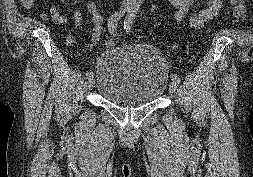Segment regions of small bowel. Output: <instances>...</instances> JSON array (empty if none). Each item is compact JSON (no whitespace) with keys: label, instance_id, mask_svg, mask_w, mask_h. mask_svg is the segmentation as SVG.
Here are the masks:
<instances>
[{"label":"small bowel","instance_id":"obj_1","mask_svg":"<svg viewBox=\"0 0 253 177\" xmlns=\"http://www.w3.org/2000/svg\"><path fill=\"white\" fill-rule=\"evenodd\" d=\"M36 0H20L22 7L26 10H30ZM64 6L68 5V0H59ZM102 0L97 2L88 1L86 3L87 10L92 15L93 29L92 40L98 41L102 31V16L99 13V6ZM199 0H168V2L176 8L174 19L177 24L182 23L186 18L188 19V25L192 30H200L204 23L213 19L222 7V0H208L207 4L200 9H193ZM42 19H51L55 24L65 25L70 21H73L76 28L79 29L82 25L81 12L74 7L71 16L63 15L59 12L58 7L55 4L50 6L48 12L40 14ZM76 35L67 37V41H74Z\"/></svg>","mask_w":253,"mask_h":177}]
</instances>
